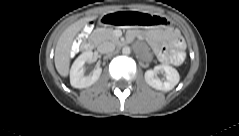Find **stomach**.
<instances>
[{
    "mask_svg": "<svg viewBox=\"0 0 239 136\" xmlns=\"http://www.w3.org/2000/svg\"><path fill=\"white\" fill-rule=\"evenodd\" d=\"M100 25L155 30L158 27L170 28L172 26V19L150 16L149 13H143L142 11H116L108 12L107 16H100Z\"/></svg>",
    "mask_w": 239,
    "mask_h": 136,
    "instance_id": "1",
    "label": "stomach"
}]
</instances>
